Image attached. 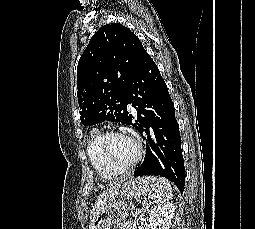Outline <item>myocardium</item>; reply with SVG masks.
I'll list each match as a JSON object with an SVG mask.
<instances>
[{
  "mask_svg": "<svg viewBox=\"0 0 255 229\" xmlns=\"http://www.w3.org/2000/svg\"><path fill=\"white\" fill-rule=\"evenodd\" d=\"M114 136H125L128 137L130 139L133 140V142L136 145V154L134 156V158L127 164L124 165H115L113 163H111L104 155L103 152V145L106 142L107 139L114 137ZM95 153L98 156V158L111 170L118 172V173H122L125 171H129L132 168H134L136 166V164L139 162V160L141 159L142 156V151H143V147H142V143L140 141V139H138L137 137L123 132V131H117V130H111V131H107L104 132L102 134H100L99 138L97 139L96 143H95Z\"/></svg>",
  "mask_w": 255,
  "mask_h": 229,
  "instance_id": "obj_1",
  "label": "myocardium"
}]
</instances>
